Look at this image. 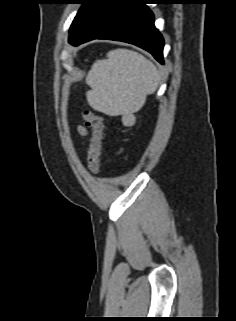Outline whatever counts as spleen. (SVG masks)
Returning <instances> with one entry per match:
<instances>
[{
    "label": "spleen",
    "mask_w": 236,
    "mask_h": 321,
    "mask_svg": "<svg viewBox=\"0 0 236 321\" xmlns=\"http://www.w3.org/2000/svg\"><path fill=\"white\" fill-rule=\"evenodd\" d=\"M91 90L88 103L110 116L137 112L146 95L156 91L159 74L155 65L142 55L116 49L107 59L96 61L86 77Z\"/></svg>",
    "instance_id": "obj_1"
}]
</instances>
